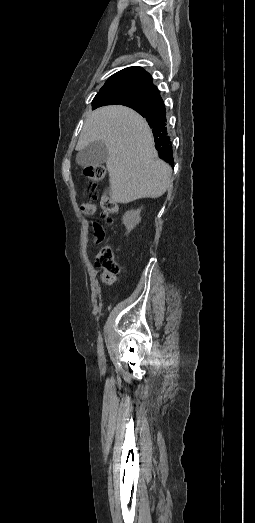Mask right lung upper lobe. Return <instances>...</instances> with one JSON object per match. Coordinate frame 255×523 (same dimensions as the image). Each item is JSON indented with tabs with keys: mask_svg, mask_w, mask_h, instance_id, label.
<instances>
[{
	"mask_svg": "<svg viewBox=\"0 0 255 523\" xmlns=\"http://www.w3.org/2000/svg\"><path fill=\"white\" fill-rule=\"evenodd\" d=\"M131 89L142 90L147 94L143 102H116L105 98L109 92H119ZM111 104H122L133 108L146 118L152 129L155 147L159 157L174 165L173 150L170 138L167 135L166 113L159 90L152 84V77L141 67L125 68L112 75L93 100V109Z\"/></svg>",
	"mask_w": 255,
	"mask_h": 523,
	"instance_id": "right-lung-upper-lobe-1",
	"label": "right lung upper lobe"
}]
</instances>
